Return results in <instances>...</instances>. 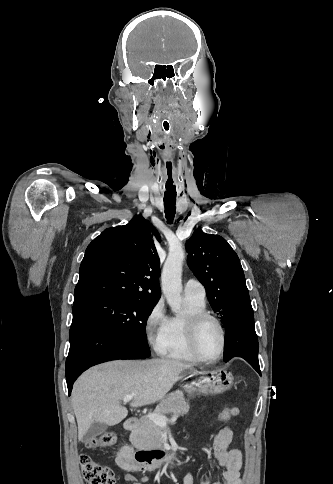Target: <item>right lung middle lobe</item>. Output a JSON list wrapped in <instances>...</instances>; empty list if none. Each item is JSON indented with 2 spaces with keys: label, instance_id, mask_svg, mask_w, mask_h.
<instances>
[{
  "label": "right lung middle lobe",
  "instance_id": "right-lung-middle-lobe-1",
  "mask_svg": "<svg viewBox=\"0 0 333 484\" xmlns=\"http://www.w3.org/2000/svg\"><path fill=\"white\" fill-rule=\"evenodd\" d=\"M156 301L110 296H91L73 305L72 311L83 310L150 356L146 323Z\"/></svg>",
  "mask_w": 333,
  "mask_h": 484
}]
</instances>
